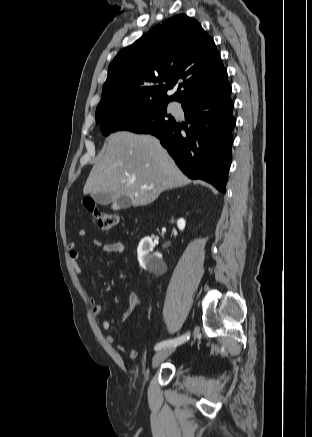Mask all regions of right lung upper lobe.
I'll use <instances>...</instances> for the list:
<instances>
[{
  "label": "right lung upper lobe",
  "instance_id": "obj_1",
  "mask_svg": "<svg viewBox=\"0 0 312 437\" xmlns=\"http://www.w3.org/2000/svg\"><path fill=\"white\" fill-rule=\"evenodd\" d=\"M227 74L213 39L185 14L170 18L122 49L108 68L96 120L125 106L183 102ZM177 93L167 96L176 85Z\"/></svg>",
  "mask_w": 312,
  "mask_h": 437
}]
</instances>
